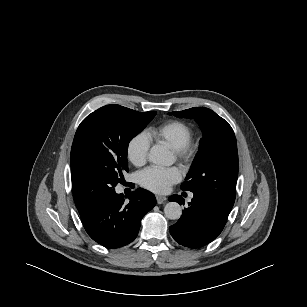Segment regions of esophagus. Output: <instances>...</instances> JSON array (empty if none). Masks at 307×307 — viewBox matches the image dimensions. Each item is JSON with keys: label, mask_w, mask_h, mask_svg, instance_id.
<instances>
[{"label": "esophagus", "mask_w": 307, "mask_h": 307, "mask_svg": "<svg viewBox=\"0 0 307 307\" xmlns=\"http://www.w3.org/2000/svg\"><path fill=\"white\" fill-rule=\"evenodd\" d=\"M156 200L158 204H162L167 200V198L165 196L156 195Z\"/></svg>", "instance_id": "34e87169"}]
</instances>
